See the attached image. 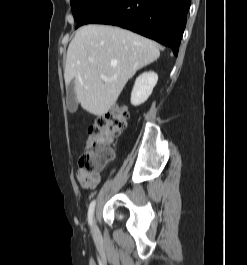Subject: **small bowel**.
Returning a JSON list of instances; mask_svg holds the SVG:
<instances>
[{
    "label": "small bowel",
    "instance_id": "c3829d8e",
    "mask_svg": "<svg viewBox=\"0 0 247 265\" xmlns=\"http://www.w3.org/2000/svg\"><path fill=\"white\" fill-rule=\"evenodd\" d=\"M77 179L79 183L85 188H94L100 182L99 175H90L85 173L82 169L77 172Z\"/></svg>",
    "mask_w": 247,
    "mask_h": 265
}]
</instances>
